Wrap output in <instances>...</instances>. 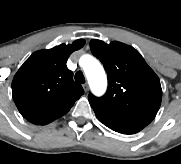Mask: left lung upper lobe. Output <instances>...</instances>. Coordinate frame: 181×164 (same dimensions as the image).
Listing matches in <instances>:
<instances>
[{
    "label": "left lung upper lobe",
    "mask_w": 181,
    "mask_h": 164,
    "mask_svg": "<svg viewBox=\"0 0 181 164\" xmlns=\"http://www.w3.org/2000/svg\"><path fill=\"white\" fill-rule=\"evenodd\" d=\"M90 49L104 65L107 92L88 96L93 109L106 110L147 126L156 116L162 99L160 80L133 47L121 42L106 44L93 39Z\"/></svg>",
    "instance_id": "1"
}]
</instances>
